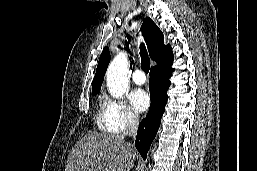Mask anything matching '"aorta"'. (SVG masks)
Masks as SVG:
<instances>
[{
  "mask_svg": "<svg viewBox=\"0 0 257 171\" xmlns=\"http://www.w3.org/2000/svg\"><path fill=\"white\" fill-rule=\"evenodd\" d=\"M127 72V57L121 53L110 63L106 73L107 87L114 98H121L126 93L129 85Z\"/></svg>",
  "mask_w": 257,
  "mask_h": 171,
  "instance_id": "1",
  "label": "aorta"
}]
</instances>
